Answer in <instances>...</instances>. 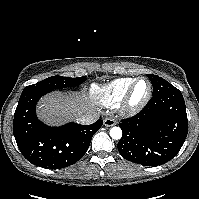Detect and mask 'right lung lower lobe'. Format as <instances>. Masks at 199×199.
<instances>
[{"label":"right lung lower lobe","mask_w":199,"mask_h":199,"mask_svg":"<svg viewBox=\"0 0 199 199\" xmlns=\"http://www.w3.org/2000/svg\"><path fill=\"white\" fill-rule=\"evenodd\" d=\"M48 92L23 91L14 114L13 132L19 150L32 164L60 169L70 166L86 153L92 136L103 121L91 125L68 123L50 127L36 116L38 100Z\"/></svg>","instance_id":"98d812e1"}]
</instances>
